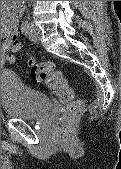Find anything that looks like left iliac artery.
I'll return each instance as SVG.
<instances>
[{"label": "left iliac artery", "mask_w": 121, "mask_h": 169, "mask_svg": "<svg viewBox=\"0 0 121 169\" xmlns=\"http://www.w3.org/2000/svg\"><path fill=\"white\" fill-rule=\"evenodd\" d=\"M31 24H32V22H30L29 20H25L21 25L22 32L27 34L28 30L31 27Z\"/></svg>", "instance_id": "44dca946"}]
</instances>
